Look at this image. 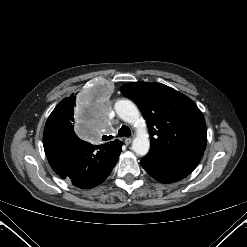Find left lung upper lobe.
Segmentation results:
<instances>
[{
	"mask_svg": "<svg viewBox=\"0 0 247 247\" xmlns=\"http://www.w3.org/2000/svg\"><path fill=\"white\" fill-rule=\"evenodd\" d=\"M120 90L137 104L147 121L151 149L205 150L206 123L190 98L160 83L132 82Z\"/></svg>",
	"mask_w": 247,
	"mask_h": 247,
	"instance_id": "obj_1",
	"label": "left lung upper lobe"
}]
</instances>
